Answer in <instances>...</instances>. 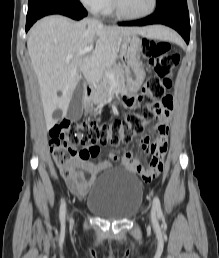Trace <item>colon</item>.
I'll return each mask as SVG.
<instances>
[{
	"instance_id": "colon-1",
	"label": "colon",
	"mask_w": 219,
	"mask_h": 258,
	"mask_svg": "<svg viewBox=\"0 0 219 258\" xmlns=\"http://www.w3.org/2000/svg\"><path fill=\"white\" fill-rule=\"evenodd\" d=\"M143 53L156 75L146 80L133 110L124 120L108 123L63 120L51 128L50 150L63 177L72 175L76 159L96 156L98 145L129 143L142 135L145 126L155 118L154 105L165 97L166 89L171 86L180 57L171 51L169 43L150 39L143 40ZM77 146L88 149L78 150Z\"/></svg>"
}]
</instances>
